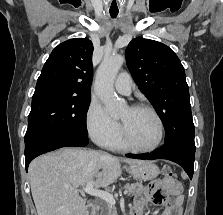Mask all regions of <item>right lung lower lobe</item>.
Instances as JSON below:
<instances>
[{"label": "right lung lower lobe", "mask_w": 223, "mask_h": 215, "mask_svg": "<svg viewBox=\"0 0 223 215\" xmlns=\"http://www.w3.org/2000/svg\"><path fill=\"white\" fill-rule=\"evenodd\" d=\"M89 143L87 137L54 135L32 139L25 142L26 171L29 163L37 156L61 147H83Z\"/></svg>", "instance_id": "right-lung-lower-lobe-1"}]
</instances>
